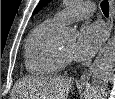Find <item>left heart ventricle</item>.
Instances as JSON below:
<instances>
[{"label": "left heart ventricle", "instance_id": "1", "mask_svg": "<svg viewBox=\"0 0 115 99\" xmlns=\"http://www.w3.org/2000/svg\"><path fill=\"white\" fill-rule=\"evenodd\" d=\"M74 48H75V42L72 41V42L66 44V45L62 48V50H63L64 52L68 53V54L73 55Z\"/></svg>", "mask_w": 115, "mask_h": 99}]
</instances>
